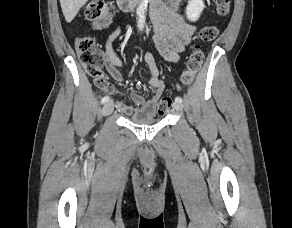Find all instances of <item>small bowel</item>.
Segmentation results:
<instances>
[{"label": "small bowel", "instance_id": "small-bowel-1", "mask_svg": "<svg viewBox=\"0 0 292 228\" xmlns=\"http://www.w3.org/2000/svg\"><path fill=\"white\" fill-rule=\"evenodd\" d=\"M182 0L159 1L151 8V21L153 24V42L159 55L168 62H176L179 54L191 44L196 27L186 21L180 12ZM122 29L115 27L108 35L106 40V62L105 67L108 73L117 81H122L123 76L118 69L122 65L121 59L116 55L113 44L121 36ZM145 62L149 69L148 84L153 89V94L145 98L135 91H132L130 97L134 104L128 105L123 101H117L116 107L123 113L132 116L143 114L154 116L157 112V102L164 91V83L159 77L157 58L147 53ZM100 88L109 93H115L113 85L104 78ZM140 85H138L139 87Z\"/></svg>", "mask_w": 292, "mask_h": 228}]
</instances>
